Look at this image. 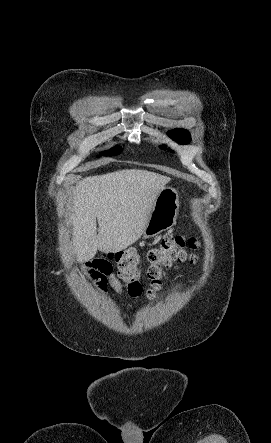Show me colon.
<instances>
[{
	"label": "colon",
	"instance_id": "obj_1",
	"mask_svg": "<svg viewBox=\"0 0 271 443\" xmlns=\"http://www.w3.org/2000/svg\"><path fill=\"white\" fill-rule=\"evenodd\" d=\"M199 247L194 238L184 236L166 235L159 246L149 250L148 261L150 266L147 270L151 288L146 291V296L152 298L161 286V279L166 268L175 262L195 263L196 255L193 253ZM102 261L109 263L114 260L118 267V276L126 285V292L132 298H139L143 294L139 282L140 256L134 249H125L110 252Z\"/></svg>",
	"mask_w": 271,
	"mask_h": 443
}]
</instances>
